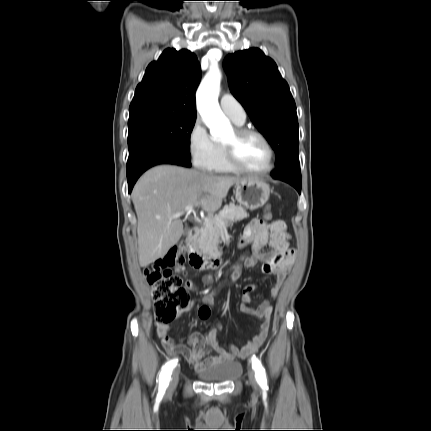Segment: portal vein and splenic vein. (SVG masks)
Listing matches in <instances>:
<instances>
[{
  "mask_svg": "<svg viewBox=\"0 0 431 431\" xmlns=\"http://www.w3.org/2000/svg\"><path fill=\"white\" fill-rule=\"evenodd\" d=\"M194 207L195 205H188L185 207L184 211L176 212L175 214L171 215L170 218H179L184 214V212H187V213L194 212ZM220 225H222V223H220Z\"/></svg>",
  "mask_w": 431,
  "mask_h": 431,
  "instance_id": "obj_1",
  "label": "portal vein and splenic vein"
}]
</instances>
